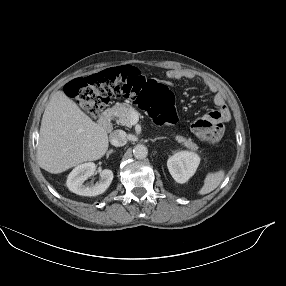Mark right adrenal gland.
Instances as JSON below:
<instances>
[{"label": "right adrenal gland", "instance_id": "obj_1", "mask_svg": "<svg viewBox=\"0 0 286 286\" xmlns=\"http://www.w3.org/2000/svg\"><path fill=\"white\" fill-rule=\"evenodd\" d=\"M109 153H113V150H110Z\"/></svg>", "mask_w": 286, "mask_h": 286}]
</instances>
